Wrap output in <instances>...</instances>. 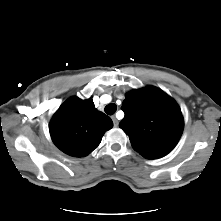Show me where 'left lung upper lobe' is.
<instances>
[{
  "instance_id": "5c2ea615",
  "label": "left lung upper lobe",
  "mask_w": 221,
  "mask_h": 221,
  "mask_svg": "<svg viewBox=\"0 0 221 221\" xmlns=\"http://www.w3.org/2000/svg\"><path fill=\"white\" fill-rule=\"evenodd\" d=\"M119 124L129 136L132 147L148 159L168 154L183 132L184 121L177 103L156 87L126 94Z\"/></svg>"
}]
</instances>
